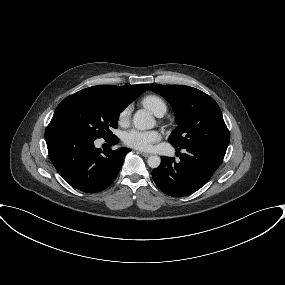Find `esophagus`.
I'll return each instance as SVG.
<instances>
[{
	"instance_id": "obj_1",
	"label": "esophagus",
	"mask_w": 285,
	"mask_h": 285,
	"mask_svg": "<svg viewBox=\"0 0 285 285\" xmlns=\"http://www.w3.org/2000/svg\"><path fill=\"white\" fill-rule=\"evenodd\" d=\"M138 153L144 157H149L151 155L150 153H146V152H142V151H138Z\"/></svg>"
}]
</instances>
